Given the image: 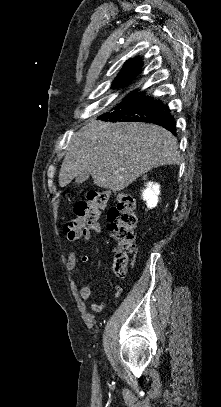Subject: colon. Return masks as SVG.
I'll use <instances>...</instances> for the list:
<instances>
[{
  "label": "colon",
  "instance_id": "colon-1",
  "mask_svg": "<svg viewBox=\"0 0 221 407\" xmlns=\"http://www.w3.org/2000/svg\"><path fill=\"white\" fill-rule=\"evenodd\" d=\"M110 196H114L115 205L109 210V231L117 241L113 270L117 277L124 278L128 271V254L135 249V199L132 195L105 189L91 191L88 200L74 206V218L63 227L64 233L71 240L89 238L99 227L100 211L105 209Z\"/></svg>",
  "mask_w": 221,
  "mask_h": 407
}]
</instances>
